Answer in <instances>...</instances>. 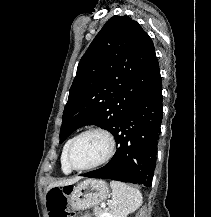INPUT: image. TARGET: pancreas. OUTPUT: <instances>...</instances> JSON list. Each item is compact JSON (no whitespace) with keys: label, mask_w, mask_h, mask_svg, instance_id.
I'll return each instance as SVG.
<instances>
[{"label":"pancreas","mask_w":211,"mask_h":217,"mask_svg":"<svg viewBox=\"0 0 211 217\" xmlns=\"http://www.w3.org/2000/svg\"><path fill=\"white\" fill-rule=\"evenodd\" d=\"M93 211L96 217H101V215L105 212L103 209H101L98 206H95Z\"/></svg>","instance_id":"1"}]
</instances>
